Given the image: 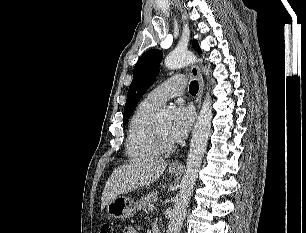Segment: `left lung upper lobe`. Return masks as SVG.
Segmentation results:
<instances>
[{
  "mask_svg": "<svg viewBox=\"0 0 306 233\" xmlns=\"http://www.w3.org/2000/svg\"><path fill=\"white\" fill-rule=\"evenodd\" d=\"M192 46L195 51L202 52L197 40H193ZM162 57V51L153 49L144 53L136 63L124 107V124H126L141 97L155 81Z\"/></svg>",
  "mask_w": 306,
  "mask_h": 233,
  "instance_id": "obj_1",
  "label": "left lung upper lobe"
}]
</instances>
